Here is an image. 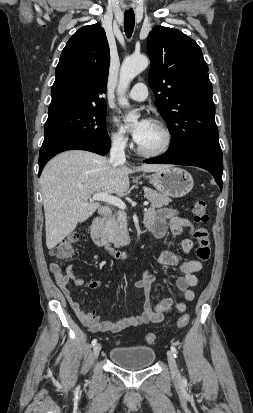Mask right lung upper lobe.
Wrapping results in <instances>:
<instances>
[{
    "label": "right lung upper lobe",
    "instance_id": "1",
    "mask_svg": "<svg viewBox=\"0 0 253 413\" xmlns=\"http://www.w3.org/2000/svg\"><path fill=\"white\" fill-rule=\"evenodd\" d=\"M110 51L99 23L80 28L68 40L55 70L48 115L105 107Z\"/></svg>",
    "mask_w": 253,
    "mask_h": 413
}]
</instances>
